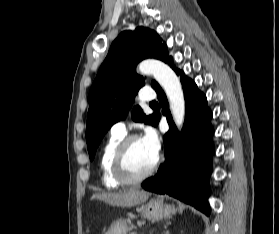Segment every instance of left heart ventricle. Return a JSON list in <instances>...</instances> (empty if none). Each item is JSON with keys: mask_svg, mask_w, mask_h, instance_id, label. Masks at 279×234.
<instances>
[{"mask_svg": "<svg viewBox=\"0 0 279 234\" xmlns=\"http://www.w3.org/2000/svg\"><path fill=\"white\" fill-rule=\"evenodd\" d=\"M156 157L142 139H139L131 143L126 158V165L131 174L140 175L154 163Z\"/></svg>", "mask_w": 279, "mask_h": 234, "instance_id": "left-heart-ventricle-1", "label": "left heart ventricle"}]
</instances>
